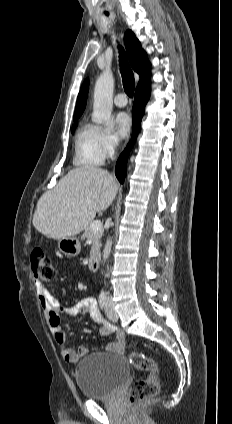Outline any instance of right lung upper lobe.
I'll list each match as a JSON object with an SVG mask.
<instances>
[{"label": "right lung upper lobe", "instance_id": "cb5924a9", "mask_svg": "<svg viewBox=\"0 0 232 424\" xmlns=\"http://www.w3.org/2000/svg\"><path fill=\"white\" fill-rule=\"evenodd\" d=\"M124 43L130 60V64L136 71L140 80L137 87L143 86L150 82V63L147 59L146 52L141 48L139 40L131 30H127L124 35ZM89 81L86 79L79 92L74 117H80L85 109Z\"/></svg>", "mask_w": 232, "mask_h": 424}]
</instances>
